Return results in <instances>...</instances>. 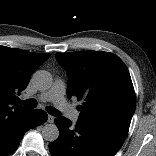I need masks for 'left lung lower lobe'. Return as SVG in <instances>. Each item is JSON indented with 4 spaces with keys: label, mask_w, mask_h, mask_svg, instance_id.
<instances>
[{
    "label": "left lung lower lobe",
    "mask_w": 156,
    "mask_h": 156,
    "mask_svg": "<svg viewBox=\"0 0 156 156\" xmlns=\"http://www.w3.org/2000/svg\"><path fill=\"white\" fill-rule=\"evenodd\" d=\"M59 137L49 144L52 156H114L126 138L115 132L80 123L75 128L65 117L55 119Z\"/></svg>",
    "instance_id": "0a47b994"
}]
</instances>
